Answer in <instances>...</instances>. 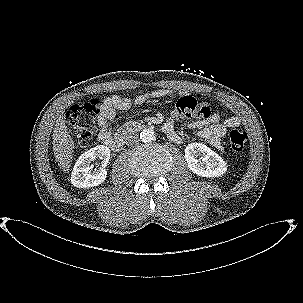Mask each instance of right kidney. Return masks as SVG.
Wrapping results in <instances>:
<instances>
[{
	"label": "right kidney",
	"mask_w": 303,
	"mask_h": 303,
	"mask_svg": "<svg viewBox=\"0 0 303 303\" xmlns=\"http://www.w3.org/2000/svg\"><path fill=\"white\" fill-rule=\"evenodd\" d=\"M96 158L102 160V166L99 169H93L91 164ZM110 159V149L104 145H98L84 152L76 161L72 174L71 183L78 188H90L98 186L107 177L105 167Z\"/></svg>",
	"instance_id": "obj_1"
}]
</instances>
